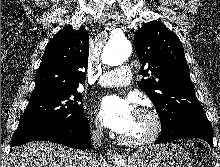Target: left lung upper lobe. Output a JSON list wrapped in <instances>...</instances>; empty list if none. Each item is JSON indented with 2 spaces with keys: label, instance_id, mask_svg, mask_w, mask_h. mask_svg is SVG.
<instances>
[{
  "label": "left lung upper lobe",
  "instance_id": "left-lung-upper-lobe-1",
  "mask_svg": "<svg viewBox=\"0 0 220 167\" xmlns=\"http://www.w3.org/2000/svg\"><path fill=\"white\" fill-rule=\"evenodd\" d=\"M134 45L142 64L138 87L156 107L162 131L205 116L190 79L184 49L178 36L153 20L135 33Z\"/></svg>",
  "mask_w": 220,
  "mask_h": 167
}]
</instances>
